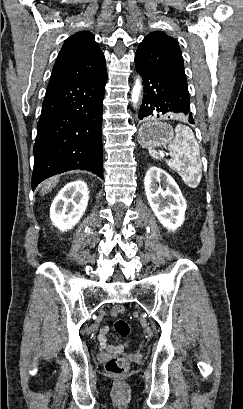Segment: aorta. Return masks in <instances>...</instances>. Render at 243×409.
<instances>
[{
  "mask_svg": "<svg viewBox=\"0 0 243 409\" xmlns=\"http://www.w3.org/2000/svg\"><path fill=\"white\" fill-rule=\"evenodd\" d=\"M141 90H142L141 79L137 78L131 94V101L134 104V106H136L139 101Z\"/></svg>",
  "mask_w": 243,
  "mask_h": 409,
  "instance_id": "obj_1",
  "label": "aorta"
}]
</instances>
